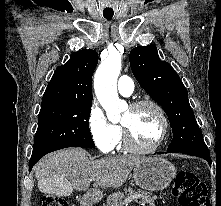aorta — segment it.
<instances>
[{
  "label": "aorta",
  "instance_id": "obj_1",
  "mask_svg": "<svg viewBox=\"0 0 221 206\" xmlns=\"http://www.w3.org/2000/svg\"><path fill=\"white\" fill-rule=\"evenodd\" d=\"M121 65V55L113 52L100 64L94 78L97 99L112 122L118 121L121 112L127 107V104L119 99L117 92V79Z\"/></svg>",
  "mask_w": 221,
  "mask_h": 206
}]
</instances>
